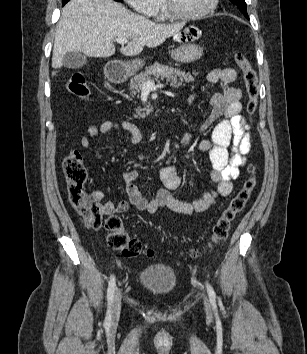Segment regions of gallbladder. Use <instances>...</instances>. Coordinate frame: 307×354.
<instances>
[{
	"instance_id": "1",
	"label": "gallbladder",
	"mask_w": 307,
	"mask_h": 354,
	"mask_svg": "<svg viewBox=\"0 0 307 354\" xmlns=\"http://www.w3.org/2000/svg\"><path fill=\"white\" fill-rule=\"evenodd\" d=\"M87 63V57L79 52H68L63 57V65L67 68L78 69Z\"/></svg>"
}]
</instances>
